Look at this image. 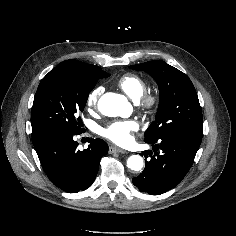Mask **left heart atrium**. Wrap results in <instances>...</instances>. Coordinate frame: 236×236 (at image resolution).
Segmentation results:
<instances>
[{"label":"left heart atrium","instance_id":"1","mask_svg":"<svg viewBox=\"0 0 236 236\" xmlns=\"http://www.w3.org/2000/svg\"><path fill=\"white\" fill-rule=\"evenodd\" d=\"M139 125L134 120L116 121L102 129V135L118 145H127Z\"/></svg>","mask_w":236,"mask_h":236}]
</instances>
